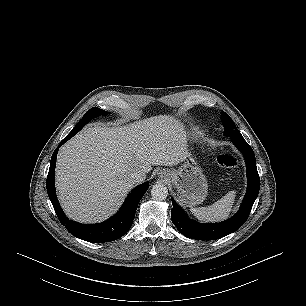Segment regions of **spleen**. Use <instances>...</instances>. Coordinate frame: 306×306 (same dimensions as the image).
Returning <instances> with one entry per match:
<instances>
[{
  "label": "spleen",
  "instance_id": "1",
  "mask_svg": "<svg viewBox=\"0 0 306 306\" xmlns=\"http://www.w3.org/2000/svg\"><path fill=\"white\" fill-rule=\"evenodd\" d=\"M236 192L230 191L214 204L207 207L191 208L192 214L201 221L217 222L226 219L233 207Z\"/></svg>",
  "mask_w": 306,
  "mask_h": 306
}]
</instances>
